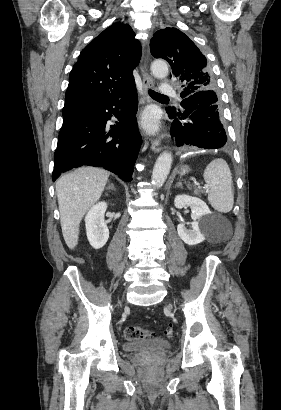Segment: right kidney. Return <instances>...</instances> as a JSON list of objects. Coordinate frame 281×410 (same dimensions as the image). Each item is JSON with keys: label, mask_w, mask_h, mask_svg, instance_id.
<instances>
[{"label": "right kidney", "mask_w": 281, "mask_h": 410, "mask_svg": "<svg viewBox=\"0 0 281 410\" xmlns=\"http://www.w3.org/2000/svg\"><path fill=\"white\" fill-rule=\"evenodd\" d=\"M106 209L107 203L99 202L88 211L85 217L87 238L94 249L102 248L109 238V230L104 220Z\"/></svg>", "instance_id": "1"}]
</instances>
